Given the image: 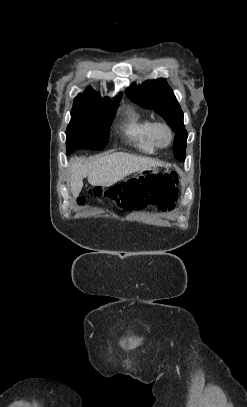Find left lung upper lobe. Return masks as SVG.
<instances>
[{"label": "left lung upper lobe", "instance_id": "1", "mask_svg": "<svg viewBox=\"0 0 247 407\" xmlns=\"http://www.w3.org/2000/svg\"><path fill=\"white\" fill-rule=\"evenodd\" d=\"M126 93L133 102L154 109L167 121L176 132L173 154L177 160L185 161L188 134L183 124V112L167 81L163 78L148 80L140 86H130Z\"/></svg>", "mask_w": 247, "mask_h": 407}]
</instances>
